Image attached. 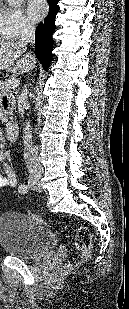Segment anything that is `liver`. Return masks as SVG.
I'll use <instances>...</instances> for the list:
<instances>
[{
	"label": "liver",
	"mask_w": 129,
	"mask_h": 309,
	"mask_svg": "<svg viewBox=\"0 0 129 309\" xmlns=\"http://www.w3.org/2000/svg\"><path fill=\"white\" fill-rule=\"evenodd\" d=\"M25 52L26 48L18 42L0 41V71L7 70L14 75L29 72L34 67L35 60Z\"/></svg>",
	"instance_id": "obj_1"
}]
</instances>
